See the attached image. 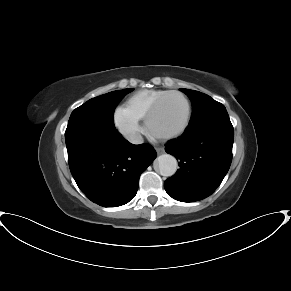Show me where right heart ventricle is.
<instances>
[{"instance_id": "e07e8e85", "label": "right heart ventricle", "mask_w": 291, "mask_h": 291, "mask_svg": "<svg viewBox=\"0 0 291 291\" xmlns=\"http://www.w3.org/2000/svg\"><path fill=\"white\" fill-rule=\"evenodd\" d=\"M168 90L162 89H145L130 95L125 101V107L137 115L140 119L145 118L146 114L154 103Z\"/></svg>"}]
</instances>
